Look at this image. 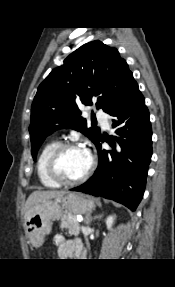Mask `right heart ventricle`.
<instances>
[{"instance_id": "right-heart-ventricle-1", "label": "right heart ventricle", "mask_w": 175, "mask_h": 287, "mask_svg": "<svg viewBox=\"0 0 175 287\" xmlns=\"http://www.w3.org/2000/svg\"><path fill=\"white\" fill-rule=\"evenodd\" d=\"M59 141L51 140L47 142L40 150L37 162L36 172L40 183L46 188H58L60 184L51 179L47 173V162L53 150L59 145Z\"/></svg>"}]
</instances>
